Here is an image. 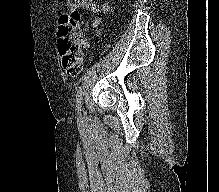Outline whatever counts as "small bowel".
<instances>
[{
	"instance_id": "c3829d8e",
	"label": "small bowel",
	"mask_w": 219,
	"mask_h": 192,
	"mask_svg": "<svg viewBox=\"0 0 219 192\" xmlns=\"http://www.w3.org/2000/svg\"><path fill=\"white\" fill-rule=\"evenodd\" d=\"M67 5L69 7H77V8L88 10L94 16V21L92 24L93 29H95L100 24L101 14L108 11L109 9L108 4H104L101 7L94 0H75L74 3H72L71 0H67ZM84 45L85 47H88L87 42H84Z\"/></svg>"
}]
</instances>
